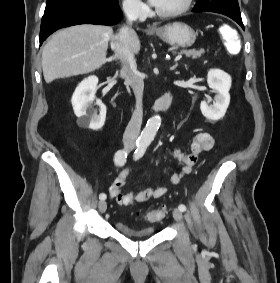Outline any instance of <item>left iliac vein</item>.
I'll use <instances>...</instances> for the list:
<instances>
[{
    "label": "left iliac vein",
    "mask_w": 280,
    "mask_h": 283,
    "mask_svg": "<svg viewBox=\"0 0 280 283\" xmlns=\"http://www.w3.org/2000/svg\"><path fill=\"white\" fill-rule=\"evenodd\" d=\"M173 218L177 221V222H182L183 220V214L182 211H180L179 209H173Z\"/></svg>",
    "instance_id": "left-iliac-vein-1"
}]
</instances>
